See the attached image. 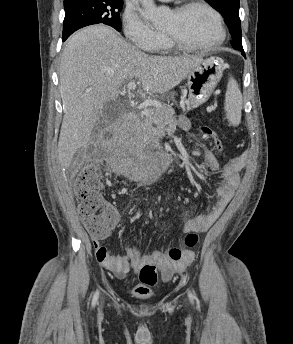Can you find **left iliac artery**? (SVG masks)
Wrapping results in <instances>:
<instances>
[{"label":"left iliac artery","mask_w":293,"mask_h":344,"mask_svg":"<svg viewBox=\"0 0 293 344\" xmlns=\"http://www.w3.org/2000/svg\"><path fill=\"white\" fill-rule=\"evenodd\" d=\"M188 296H189L190 300L193 302L194 296H193L191 291H188Z\"/></svg>","instance_id":"44dca946"}]
</instances>
